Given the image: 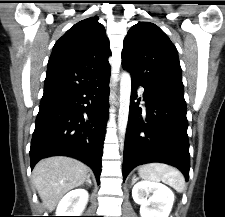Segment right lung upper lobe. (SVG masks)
<instances>
[{"label": "right lung upper lobe", "instance_id": "1", "mask_svg": "<svg viewBox=\"0 0 225 217\" xmlns=\"http://www.w3.org/2000/svg\"><path fill=\"white\" fill-rule=\"evenodd\" d=\"M98 17L72 26L54 45L43 97L89 88L110 78L109 40Z\"/></svg>", "mask_w": 225, "mask_h": 217}]
</instances>
